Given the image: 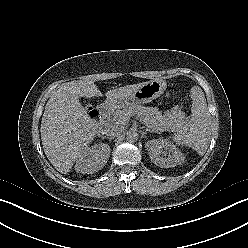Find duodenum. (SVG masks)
Listing matches in <instances>:
<instances>
[{
  "label": "duodenum",
  "instance_id": "duodenum-1",
  "mask_svg": "<svg viewBox=\"0 0 248 248\" xmlns=\"http://www.w3.org/2000/svg\"><path fill=\"white\" fill-rule=\"evenodd\" d=\"M112 106L110 103H104L100 105L99 109L97 110V116L99 119L98 123V131L99 133H102L104 131L105 124L103 122V117L111 110Z\"/></svg>",
  "mask_w": 248,
  "mask_h": 248
}]
</instances>
